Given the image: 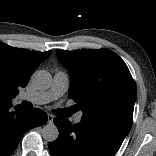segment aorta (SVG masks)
Here are the masks:
<instances>
[{"mask_svg": "<svg viewBox=\"0 0 156 156\" xmlns=\"http://www.w3.org/2000/svg\"><path fill=\"white\" fill-rule=\"evenodd\" d=\"M32 82L36 89L47 90L52 84V77L45 70L35 71L32 75ZM59 136L58 128L53 123L45 125L42 129V137L48 142H54Z\"/></svg>", "mask_w": 156, "mask_h": 156, "instance_id": "obj_1", "label": "aorta"}]
</instances>
